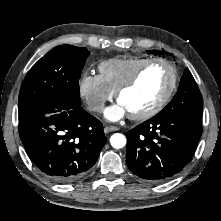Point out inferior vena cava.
Here are the masks:
<instances>
[{"instance_id": "602c4592", "label": "inferior vena cava", "mask_w": 221, "mask_h": 221, "mask_svg": "<svg viewBox=\"0 0 221 221\" xmlns=\"http://www.w3.org/2000/svg\"><path fill=\"white\" fill-rule=\"evenodd\" d=\"M104 109V103L103 102H96L91 105H89V110L94 112H102Z\"/></svg>"}]
</instances>
